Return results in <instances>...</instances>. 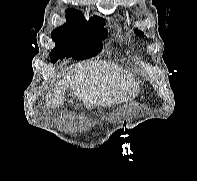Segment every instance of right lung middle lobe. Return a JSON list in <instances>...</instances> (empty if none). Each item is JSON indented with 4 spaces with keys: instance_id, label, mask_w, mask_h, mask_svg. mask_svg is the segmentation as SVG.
I'll return each instance as SVG.
<instances>
[{
    "instance_id": "dd1d6c3e",
    "label": "right lung middle lobe",
    "mask_w": 197,
    "mask_h": 181,
    "mask_svg": "<svg viewBox=\"0 0 197 181\" xmlns=\"http://www.w3.org/2000/svg\"><path fill=\"white\" fill-rule=\"evenodd\" d=\"M105 22L99 17L67 20V22L52 31L55 48L50 57L51 62L58 59L72 57L87 59L97 55L103 48L101 40L107 37V30L103 28Z\"/></svg>"
}]
</instances>
